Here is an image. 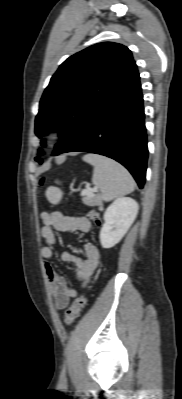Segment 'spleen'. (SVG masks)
Segmentation results:
<instances>
[{
	"instance_id": "3e777b00",
	"label": "spleen",
	"mask_w": 182,
	"mask_h": 399,
	"mask_svg": "<svg viewBox=\"0 0 182 399\" xmlns=\"http://www.w3.org/2000/svg\"><path fill=\"white\" fill-rule=\"evenodd\" d=\"M82 159L94 167L92 182L100 188L104 201H111L134 190L132 176L116 161L97 154H87ZM62 195L61 190L56 187H49L46 191L48 200L53 204H57Z\"/></svg>"
}]
</instances>
